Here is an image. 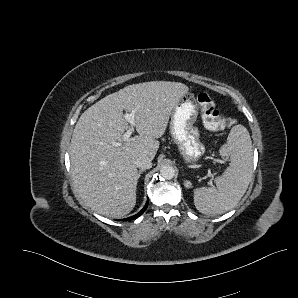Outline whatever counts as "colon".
I'll use <instances>...</instances> for the list:
<instances>
[{
    "mask_svg": "<svg viewBox=\"0 0 298 298\" xmlns=\"http://www.w3.org/2000/svg\"><path fill=\"white\" fill-rule=\"evenodd\" d=\"M197 102L200 107L203 124L208 130L219 131L234 125L235 121L217 109L214 100L208 93H199Z\"/></svg>",
    "mask_w": 298,
    "mask_h": 298,
    "instance_id": "5ec220e1",
    "label": "colon"
}]
</instances>
